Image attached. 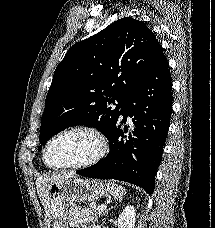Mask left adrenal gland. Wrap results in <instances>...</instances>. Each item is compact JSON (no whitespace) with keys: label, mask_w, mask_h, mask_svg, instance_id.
Returning <instances> with one entry per match:
<instances>
[{"label":"left adrenal gland","mask_w":215,"mask_h":228,"mask_svg":"<svg viewBox=\"0 0 215 228\" xmlns=\"http://www.w3.org/2000/svg\"><path fill=\"white\" fill-rule=\"evenodd\" d=\"M103 214H106V212H102L101 216H103ZM99 218H100V216H99ZM95 222H96V220H95Z\"/></svg>","instance_id":"1"}]
</instances>
